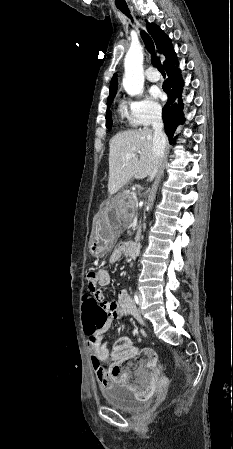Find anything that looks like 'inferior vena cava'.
I'll list each match as a JSON object with an SVG mask.
<instances>
[{
	"label": "inferior vena cava",
	"mask_w": 233,
	"mask_h": 449,
	"mask_svg": "<svg viewBox=\"0 0 233 449\" xmlns=\"http://www.w3.org/2000/svg\"><path fill=\"white\" fill-rule=\"evenodd\" d=\"M153 127V155H154V168L150 174V179L152 180L156 173H157V165L159 161L163 158L164 155V149L166 145V138L165 134L163 132V122H162V116L161 112L158 111L152 122Z\"/></svg>",
	"instance_id": "obj_1"
}]
</instances>
